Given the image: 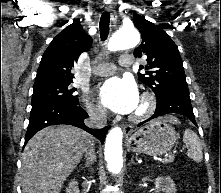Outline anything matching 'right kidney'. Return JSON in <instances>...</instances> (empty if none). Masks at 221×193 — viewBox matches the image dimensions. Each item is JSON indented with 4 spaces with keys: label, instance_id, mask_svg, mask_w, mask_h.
I'll return each mask as SVG.
<instances>
[{
    "label": "right kidney",
    "instance_id": "obj_1",
    "mask_svg": "<svg viewBox=\"0 0 221 193\" xmlns=\"http://www.w3.org/2000/svg\"><path fill=\"white\" fill-rule=\"evenodd\" d=\"M66 193H80L77 181L73 180L69 183Z\"/></svg>",
    "mask_w": 221,
    "mask_h": 193
}]
</instances>
